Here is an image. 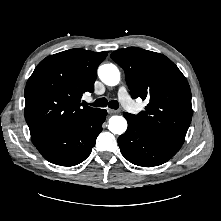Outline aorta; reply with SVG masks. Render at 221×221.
Returning a JSON list of instances; mask_svg holds the SVG:
<instances>
[{
  "label": "aorta",
  "instance_id": "aorta-1",
  "mask_svg": "<svg viewBox=\"0 0 221 221\" xmlns=\"http://www.w3.org/2000/svg\"><path fill=\"white\" fill-rule=\"evenodd\" d=\"M100 80L108 86H116L120 82V72L114 64H103L98 69ZM108 129L113 134H123L127 129V121L122 116H112L109 119Z\"/></svg>",
  "mask_w": 221,
  "mask_h": 221
}]
</instances>
